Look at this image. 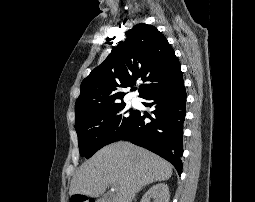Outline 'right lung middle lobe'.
<instances>
[{
	"mask_svg": "<svg viewBox=\"0 0 255 202\" xmlns=\"http://www.w3.org/2000/svg\"><path fill=\"white\" fill-rule=\"evenodd\" d=\"M138 115L124 102L94 110L75 121L80 155L90 158L107 144L120 140Z\"/></svg>",
	"mask_w": 255,
	"mask_h": 202,
	"instance_id": "1",
	"label": "right lung middle lobe"
}]
</instances>
